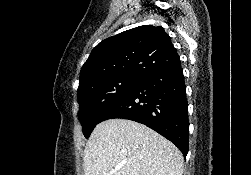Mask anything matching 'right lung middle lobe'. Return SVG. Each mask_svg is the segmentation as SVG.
<instances>
[{"label":"right lung middle lobe","mask_w":251,"mask_h":175,"mask_svg":"<svg viewBox=\"0 0 251 175\" xmlns=\"http://www.w3.org/2000/svg\"><path fill=\"white\" fill-rule=\"evenodd\" d=\"M141 79L130 76L78 88V117L85 138H89L101 116L129 92Z\"/></svg>","instance_id":"right-lung-middle-lobe-1"}]
</instances>
